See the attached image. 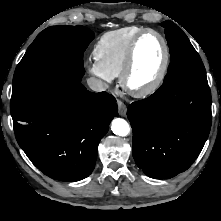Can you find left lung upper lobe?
Wrapping results in <instances>:
<instances>
[{"mask_svg": "<svg viewBox=\"0 0 221 221\" xmlns=\"http://www.w3.org/2000/svg\"><path fill=\"white\" fill-rule=\"evenodd\" d=\"M170 48L171 63L164 82L175 78L207 81L206 70L185 33L172 21L161 23Z\"/></svg>", "mask_w": 221, "mask_h": 221, "instance_id": "1", "label": "left lung upper lobe"}]
</instances>
